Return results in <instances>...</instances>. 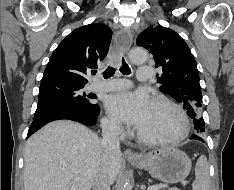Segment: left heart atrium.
I'll return each mask as SVG.
<instances>
[{"label":"left heart atrium","instance_id":"39dd6f15","mask_svg":"<svg viewBox=\"0 0 234 190\" xmlns=\"http://www.w3.org/2000/svg\"><path fill=\"white\" fill-rule=\"evenodd\" d=\"M151 104L149 96L143 91L118 92L108 96L105 101L106 109L111 117L135 128L142 125Z\"/></svg>","mask_w":234,"mask_h":190}]
</instances>
